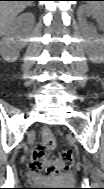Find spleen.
Here are the masks:
<instances>
[{
	"instance_id": "3e777b00",
	"label": "spleen",
	"mask_w": 104,
	"mask_h": 189,
	"mask_svg": "<svg viewBox=\"0 0 104 189\" xmlns=\"http://www.w3.org/2000/svg\"><path fill=\"white\" fill-rule=\"evenodd\" d=\"M88 5L93 9L103 8V2L101 1H90Z\"/></svg>"
}]
</instances>
